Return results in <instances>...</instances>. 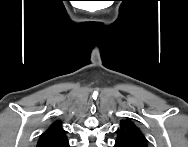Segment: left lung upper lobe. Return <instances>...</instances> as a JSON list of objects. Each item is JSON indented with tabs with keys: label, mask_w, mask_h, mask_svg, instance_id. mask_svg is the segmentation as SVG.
<instances>
[{
	"label": "left lung upper lobe",
	"mask_w": 188,
	"mask_h": 147,
	"mask_svg": "<svg viewBox=\"0 0 188 147\" xmlns=\"http://www.w3.org/2000/svg\"><path fill=\"white\" fill-rule=\"evenodd\" d=\"M116 147H148L141 130L130 120H122L117 130Z\"/></svg>",
	"instance_id": "5c2ea615"
}]
</instances>
